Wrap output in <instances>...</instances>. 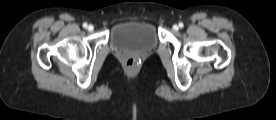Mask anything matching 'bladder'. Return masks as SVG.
Segmentation results:
<instances>
[{"mask_svg":"<svg viewBox=\"0 0 276 120\" xmlns=\"http://www.w3.org/2000/svg\"><path fill=\"white\" fill-rule=\"evenodd\" d=\"M155 27L149 22L129 21L116 25L110 35V44L117 49L150 51L157 46Z\"/></svg>","mask_w":276,"mask_h":120,"instance_id":"bladder-1","label":"bladder"}]
</instances>
